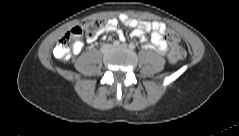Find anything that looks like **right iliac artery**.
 Segmentation results:
<instances>
[{
	"label": "right iliac artery",
	"mask_w": 239,
	"mask_h": 136,
	"mask_svg": "<svg viewBox=\"0 0 239 136\" xmlns=\"http://www.w3.org/2000/svg\"><path fill=\"white\" fill-rule=\"evenodd\" d=\"M119 43H120L119 41H114V42H113V44H114L115 46H118Z\"/></svg>",
	"instance_id": "right-iliac-artery-1"
}]
</instances>
